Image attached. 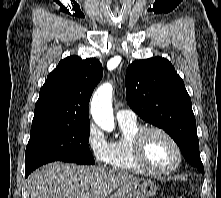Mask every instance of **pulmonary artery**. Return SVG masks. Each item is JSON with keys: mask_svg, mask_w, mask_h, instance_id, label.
I'll list each match as a JSON object with an SVG mask.
<instances>
[{"mask_svg": "<svg viewBox=\"0 0 221 198\" xmlns=\"http://www.w3.org/2000/svg\"><path fill=\"white\" fill-rule=\"evenodd\" d=\"M119 122H133L136 121V114L131 109H120L116 113Z\"/></svg>", "mask_w": 221, "mask_h": 198, "instance_id": "pulmonary-artery-1", "label": "pulmonary artery"}]
</instances>
